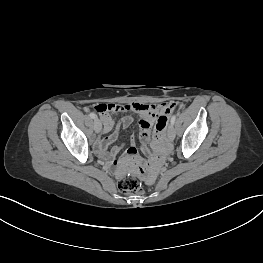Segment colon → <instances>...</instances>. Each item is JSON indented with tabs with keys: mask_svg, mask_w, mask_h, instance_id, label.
Wrapping results in <instances>:
<instances>
[{
	"mask_svg": "<svg viewBox=\"0 0 263 263\" xmlns=\"http://www.w3.org/2000/svg\"><path fill=\"white\" fill-rule=\"evenodd\" d=\"M166 110V103L137 100H130L128 103H114L107 104L99 103L95 105L94 112L97 115H113V114H129L137 115L140 113H163ZM163 156V154H162ZM163 159V158H162ZM118 189L122 193L131 194L137 193L141 190L140 181L134 176H127L121 179L118 184Z\"/></svg>",
	"mask_w": 263,
	"mask_h": 263,
	"instance_id": "5ec220e1",
	"label": "colon"
}]
</instances>
